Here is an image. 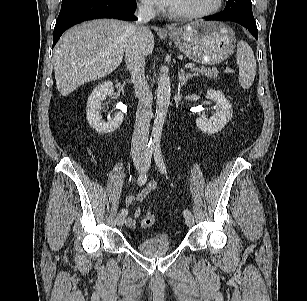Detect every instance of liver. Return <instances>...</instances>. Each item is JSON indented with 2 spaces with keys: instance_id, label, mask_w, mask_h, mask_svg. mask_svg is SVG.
I'll return each instance as SVG.
<instances>
[{
  "instance_id": "liver-1",
  "label": "liver",
  "mask_w": 307,
  "mask_h": 301,
  "mask_svg": "<svg viewBox=\"0 0 307 301\" xmlns=\"http://www.w3.org/2000/svg\"><path fill=\"white\" fill-rule=\"evenodd\" d=\"M135 25L114 19H98L68 30L54 48L57 89L68 96L84 83L111 74L121 63L126 45L134 37ZM145 55L154 49L149 29Z\"/></svg>"
}]
</instances>
